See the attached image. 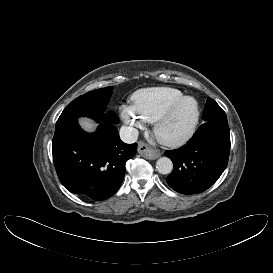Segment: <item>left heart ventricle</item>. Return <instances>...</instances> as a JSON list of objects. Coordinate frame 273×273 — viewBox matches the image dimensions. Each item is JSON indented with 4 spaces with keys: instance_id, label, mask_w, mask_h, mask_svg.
<instances>
[{
    "instance_id": "1",
    "label": "left heart ventricle",
    "mask_w": 273,
    "mask_h": 273,
    "mask_svg": "<svg viewBox=\"0 0 273 273\" xmlns=\"http://www.w3.org/2000/svg\"><path fill=\"white\" fill-rule=\"evenodd\" d=\"M196 114L194 102L186 101L181 104L164 123L161 134L166 138H175L183 134L190 127Z\"/></svg>"
}]
</instances>
